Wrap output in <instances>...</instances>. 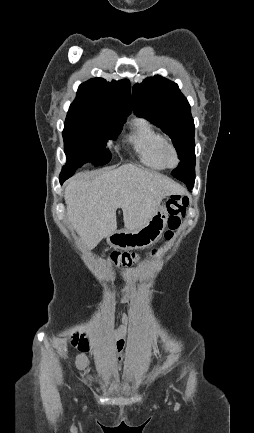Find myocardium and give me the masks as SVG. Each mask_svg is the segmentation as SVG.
<instances>
[{
    "instance_id": "myocardium-1",
    "label": "myocardium",
    "mask_w": 254,
    "mask_h": 433,
    "mask_svg": "<svg viewBox=\"0 0 254 433\" xmlns=\"http://www.w3.org/2000/svg\"><path fill=\"white\" fill-rule=\"evenodd\" d=\"M167 150H170L173 153V155L175 157V163L174 164H170L167 161V158H166V151ZM159 155H160V158L166 167L174 168V167H177L180 163V156H179V153H178L176 146L173 144V142H171L167 139H165L162 142V144L160 145Z\"/></svg>"
}]
</instances>
